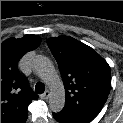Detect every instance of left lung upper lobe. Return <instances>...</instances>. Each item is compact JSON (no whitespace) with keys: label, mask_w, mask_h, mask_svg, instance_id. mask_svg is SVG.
<instances>
[{"label":"left lung upper lobe","mask_w":123,"mask_h":123,"mask_svg":"<svg viewBox=\"0 0 123 123\" xmlns=\"http://www.w3.org/2000/svg\"><path fill=\"white\" fill-rule=\"evenodd\" d=\"M65 87V106L59 112L75 123H89L103 108L111 89L108 63L91 47L69 36L50 38Z\"/></svg>","instance_id":"5c2ea615"}]
</instances>
